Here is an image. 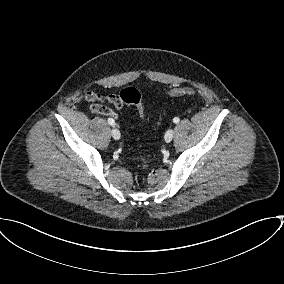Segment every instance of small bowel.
<instances>
[{
  "label": "small bowel",
  "instance_id": "small-bowel-1",
  "mask_svg": "<svg viewBox=\"0 0 284 284\" xmlns=\"http://www.w3.org/2000/svg\"><path fill=\"white\" fill-rule=\"evenodd\" d=\"M84 98L89 103V109L92 113L113 117L114 119L118 118V113L108 107L107 104L113 105L118 111L124 107V102L120 99L119 94L102 95L94 91H87Z\"/></svg>",
  "mask_w": 284,
  "mask_h": 284
}]
</instances>
